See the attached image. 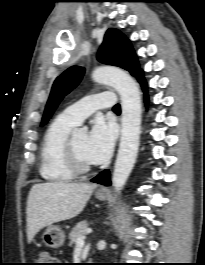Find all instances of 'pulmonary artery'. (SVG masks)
Instances as JSON below:
<instances>
[{"mask_svg":"<svg viewBox=\"0 0 205 265\" xmlns=\"http://www.w3.org/2000/svg\"><path fill=\"white\" fill-rule=\"evenodd\" d=\"M115 104V95L112 92L105 91L84 97L67 107L62 114L78 125L96 110L112 108Z\"/></svg>","mask_w":205,"mask_h":265,"instance_id":"obj_1","label":"pulmonary artery"}]
</instances>
